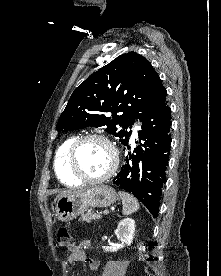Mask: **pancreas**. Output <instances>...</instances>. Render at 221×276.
<instances>
[{
  "mask_svg": "<svg viewBox=\"0 0 221 276\" xmlns=\"http://www.w3.org/2000/svg\"><path fill=\"white\" fill-rule=\"evenodd\" d=\"M81 218L83 221L90 222L91 220H98L101 218L100 214L93 213L91 211H88L86 213L81 214Z\"/></svg>",
  "mask_w": 221,
  "mask_h": 276,
  "instance_id": "obj_1",
  "label": "pancreas"
}]
</instances>
